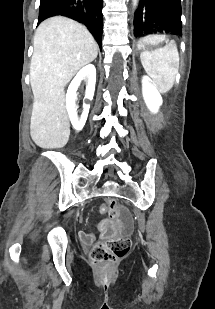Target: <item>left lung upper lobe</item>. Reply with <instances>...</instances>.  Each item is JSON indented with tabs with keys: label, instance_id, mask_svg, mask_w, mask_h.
I'll return each instance as SVG.
<instances>
[{
	"label": "left lung upper lobe",
	"instance_id": "1",
	"mask_svg": "<svg viewBox=\"0 0 215 309\" xmlns=\"http://www.w3.org/2000/svg\"><path fill=\"white\" fill-rule=\"evenodd\" d=\"M152 32L182 34L180 0H140L134 16V36Z\"/></svg>",
	"mask_w": 215,
	"mask_h": 309
}]
</instances>
